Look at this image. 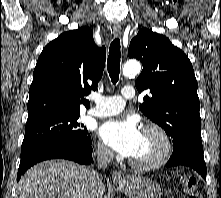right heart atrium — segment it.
<instances>
[{
    "label": "right heart atrium",
    "instance_id": "obj_1",
    "mask_svg": "<svg viewBox=\"0 0 221 198\" xmlns=\"http://www.w3.org/2000/svg\"><path fill=\"white\" fill-rule=\"evenodd\" d=\"M96 154L102 160H110L113 157L111 150L101 142L96 146Z\"/></svg>",
    "mask_w": 221,
    "mask_h": 198
}]
</instances>
